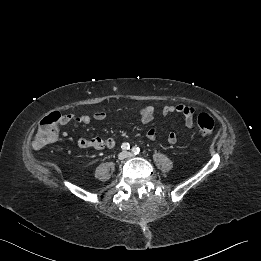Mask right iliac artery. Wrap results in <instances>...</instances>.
Segmentation results:
<instances>
[{
	"label": "right iliac artery",
	"instance_id": "right-iliac-artery-1",
	"mask_svg": "<svg viewBox=\"0 0 261 261\" xmlns=\"http://www.w3.org/2000/svg\"><path fill=\"white\" fill-rule=\"evenodd\" d=\"M121 148H122V150L126 151V150L130 149V145H129V143H123Z\"/></svg>",
	"mask_w": 261,
	"mask_h": 261
}]
</instances>
